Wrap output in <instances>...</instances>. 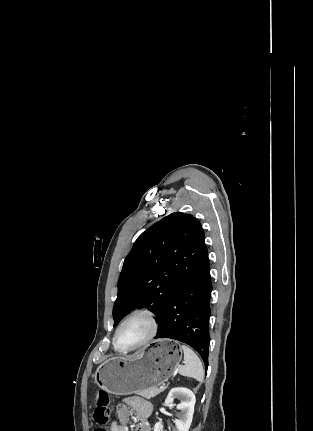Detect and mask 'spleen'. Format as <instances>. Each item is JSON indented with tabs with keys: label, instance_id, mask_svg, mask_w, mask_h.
Listing matches in <instances>:
<instances>
[{
	"label": "spleen",
	"instance_id": "obj_1",
	"mask_svg": "<svg viewBox=\"0 0 313 431\" xmlns=\"http://www.w3.org/2000/svg\"><path fill=\"white\" fill-rule=\"evenodd\" d=\"M181 350L184 352L185 365L178 368L179 374L202 382L204 379V369L199 357L186 345H182Z\"/></svg>",
	"mask_w": 313,
	"mask_h": 431
}]
</instances>
